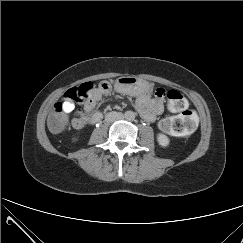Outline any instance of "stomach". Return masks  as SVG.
I'll use <instances>...</instances> for the list:
<instances>
[{"label":"stomach","mask_w":243,"mask_h":243,"mask_svg":"<svg viewBox=\"0 0 243 243\" xmlns=\"http://www.w3.org/2000/svg\"><path fill=\"white\" fill-rule=\"evenodd\" d=\"M115 85L120 92L132 96L149 90V86L143 80L133 76L120 77Z\"/></svg>","instance_id":"0dacf381"}]
</instances>
